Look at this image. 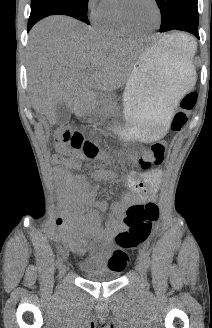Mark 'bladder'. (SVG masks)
Returning a JSON list of instances; mask_svg holds the SVG:
<instances>
[{"label":"bladder","mask_w":212,"mask_h":328,"mask_svg":"<svg viewBox=\"0 0 212 328\" xmlns=\"http://www.w3.org/2000/svg\"><path fill=\"white\" fill-rule=\"evenodd\" d=\"M78 268L83 276L92 282H111L121 275L119 271L103 268L92 259L79 263Z\"/></svg>","instance_id":"31cf9c89"}]
</instances>
